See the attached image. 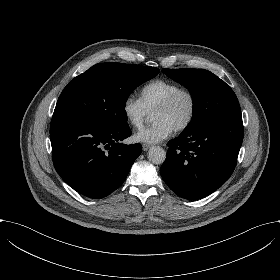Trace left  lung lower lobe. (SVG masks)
<instances>
[{
    "mask_svg": "<svg viewBox=\"0 0 280 280\" xmlns=\"http://www.w3.org/2000/svg\"><path fill=\"white\" fill-rule=\"evenodd\" d=\"M244 135L241 112L217 117L168 142L160 173L178 196L197 200L231 176Z\"/></svg>",
    "mask_w": 280,
    "mask_h": 280,
    "instance_id": "0a47b994",
    "label": "left lung lower lobe"
}]
</instances>
